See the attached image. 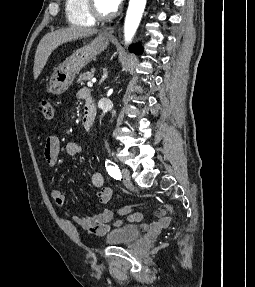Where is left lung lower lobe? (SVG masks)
Here are the masks:
<instances>
[{"instance_id":"0a47b994","label":"left lung lower lobe","mask_w":255,"mask_h":287,"mask_svg":"<svg viewBox=\"0 0 255 287\" xmlns=\"http://www.w3.org/2000/svg\"><path fill=\"white\" fill-rule=\"evenodd\" d=\"M130 51L139 54V53L142 52V48H141V46H140L139 44H137V45H132V46L130 47Z\"/></svg>"}]
</instances>
